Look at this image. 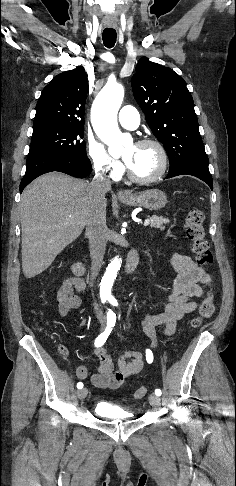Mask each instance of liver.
I'll return each instance as SVG.
<instances>
[{"mask_svg":"<svg viewBox=\"0 0 236 486\" xmlns=\"http://www.w3.org/2000/svg\"><path fill=\"white\" fill-rule=\"evenodd\" d=\"M90 203L89 183L59 172L40 176L24 189L20 218L26 278L45 271L80 236Z\"/></svg>","mask_w":236,"mask_h":486,"instance_id":"1","label":"liver"}]
</instances>
